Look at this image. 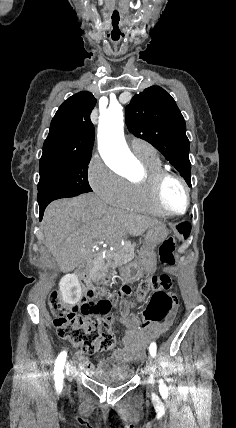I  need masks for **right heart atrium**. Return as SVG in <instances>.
Segmentation results:
<instances>
[{
  "mask_svg": "<svg viewBox=\"0 0 236 428\" xmlns=\"http://www.w3.org/2000/svg\"><path fill=\"white\" fill-rule=\"evenodd\" d=\"M88 182L99 200H106L107 206H122L128 182L99 156L91 159L88 166Z\"/></svg>",
  "mask_w": 236,
  "mask_h": 428,
  "instance_id": "right-heart-atrium-1",
  "label": "right heart atrium"
}]
</instances>
